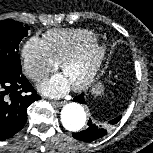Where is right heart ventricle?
<instances>
[{
	"instance_id": "1",
	"label": "right heart ventricle",
	"mask_w": 153,
	"mask_h": 153,
	"mask_svg": "<svg viewBox=\"0 0 153 153\" xmlns=\"http://www.w3.org/2000/svg\"><path fill=\"white\" fill-rule=\"evenodd\" d=\"M97 39V35L87 29H53L44 35V42L57 63L78 52Z\"/></svg>"
}]
</instances>
